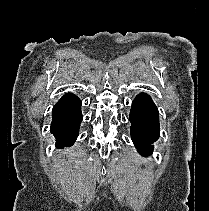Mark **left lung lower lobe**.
Here are the masks:
<instances>
[{
    "label": "left lung lower lobe",
    "mask_w": 209,
    "mask_h": 211,
    "mask_svg": "<svg viewBox=\"0 0 209 211\" xmlns=\"http://www.w3.org/2000/svg\"><path fill=\"white\" fill-rule=\"evenodd\" d=\"M129 120L135 147L141 155L148 156L153 151L152 143L160 135L158 110L149 95L140 93L136 96L132 103Z\"/></svg>",
    "instance_id": "obj_1"
}]
</instances>
